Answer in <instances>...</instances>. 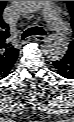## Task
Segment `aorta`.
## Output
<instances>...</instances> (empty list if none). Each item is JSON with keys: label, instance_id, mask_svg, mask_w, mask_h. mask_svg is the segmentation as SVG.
<instances>
[{"label": "aorta", "instance_id": "aorta-1", "mask_svg": "<svg viewBox=\"0 0 74 122\" xmlns=\"http://www.w3.org/2000/svg\"><path fill=\"white\" fill-rule=\"evenodd\" d=\"M16 8L23 14L29 15L38 12L43 7V1H13ZM68 50V42L62 34L51 35L45 45L44 53L48 59L59 61Z\"/></svg>", "mask_w": 74, "mask_h": 122}]
</instances>
